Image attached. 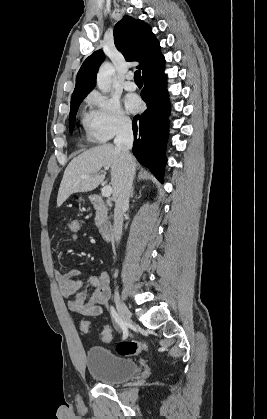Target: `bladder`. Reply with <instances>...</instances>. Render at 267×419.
<instances>
[{"instance_id": "bladder-1", "label": "bladder", "mask_w": 267, "mask_h": 419, "mask_svg": "<svg viewBox=\"0 0 267 419\" xmlns=\"http://www.w3.org/2000/svg\"><path fill=\"white\" fill-rule=\"evenodd\" d=\"M86 368L93 379L108 385L124 382L138 371L135 361L118 356L102 346H92L87 350Z\"/></svg>"}]
</instances>
